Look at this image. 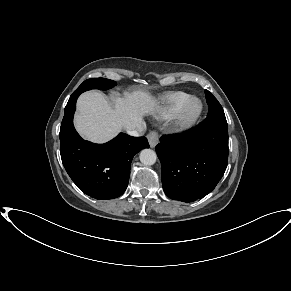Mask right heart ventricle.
<instances>
[{"instance_id":"obj_1","label":"right heart ventricle","mask_w":291,"mask_h":291,"mask_svg":"<svg viewBox=\"0 0 291 291\" xmlns=\"http://www.w3.org/2000/svg\"><path fill=\"white\" fill-rule=\"evenodd\" d=\"M191 98V94L183 91L168 92L158 99L154 112L162 119L175 117Z\"/></svg>"}]
</instances>
